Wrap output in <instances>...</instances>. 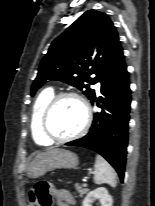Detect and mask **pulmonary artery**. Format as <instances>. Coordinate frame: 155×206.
Listing matches in <instances>:
<instances>
[{
	"mask_svg": "<svg viewBox=\"0 0 155 206\" xmlns=\"http://www.w3.org/2000/svg\"><path fill=\"white\" fill-rule=\"evenodd\" d=\"M96 87H97V89H99L100 88V83H97Z\"/></svg>",
	"mask_w": 155,
	"mask_h": 206,
	"instance_id": "obj_1",
	"label": "pulmonary artery"
}]
</instances>
